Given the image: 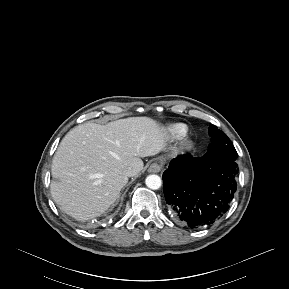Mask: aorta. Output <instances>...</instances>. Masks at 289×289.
Masks as SVG:
<instances>
[{
  "mask_svg": "<svg viewBox=\"0 0 289 289\" xmlns=\"http://www.w3.org/2000/svg\"><path fill=\"white\" fill-rule=\"evenodd\" d=\"M145 184L152 190H157L161 187L162 180L158 175L152 174L146 177Z\"/></svg>",
  "mask_w": 289,
  "mask_h": 289,
  "instance_id": "aorta-1",
  "label": "aorta"
}]
</instances>
